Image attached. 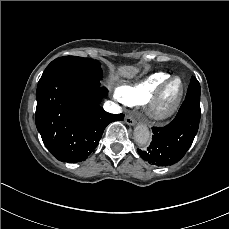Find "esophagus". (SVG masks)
Instances as JSON below:
<instances>
[{
	"instance_id": "obj_1",
	"label": "esophagus",
	"mask_w": 229,
	"mask_h": 229,
	"mask_svg": "<svg viewBox=\"0 0 229 229\" xmlns=\"http://www.w3.org/2000/svg\"><path fill=\"white\" fill-rule=\"evenodd\" d=\"M124 121L129 125V126H134L137 121V117L133 114H128L125 116Z\"/></svg>"
}]
</instances>
